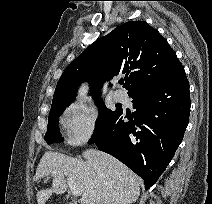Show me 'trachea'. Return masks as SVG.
I'll use <instances>...</instances> for the list:
<instances>
[{
    "instance_id": "obj_1",
    "label": "trachea",
    "mask_w": 212,
    "mask_h": 204,
    "mask_svg": "<svg viewBox=\"0 0 212 204\" xmlns=\"http://www.w3.org/2000/svg\"><path fill=\"white\" fill-rule=\"evenodd\" d=\"M124 83V81H120V84H123Z\"/></svg>"
}]
</instances>
